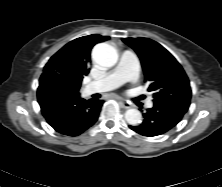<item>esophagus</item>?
I'll return each instance as SVG.
<instances>
[{
	"mask_svg": "<svg viewBox=\"0 0 222 187\" xmlns=\"http://www.w3.org/2000/svg\"><path fill=\"white\" fill-rule=\"evenodd\" d=\"M120 102H121L122 107L125 108V109H129V108L132 107V104L128 101L121 100Z\"/></svg>",
	"mask_w": 222,
	"mask_h": 187,
	"instance_id": "esophagus-1",
	"label": "esophagus"
}]
</instances>
